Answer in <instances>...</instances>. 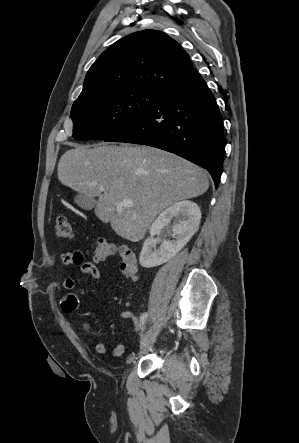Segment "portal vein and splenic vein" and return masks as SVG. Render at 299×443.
<instances>
[{
	"mask_svg": "<svg viewBox=\"0 0 299 443\" xmlns=\"http://www.w3.org/2000/svg\"><path fill=\"white\" fill-rule=\"evenodd\" d=\"M99 189H100V191H104L103 187H100ZM131 206H133V200H131V199H123L119 203L118 208L121 209L123 207H131Z\"/></svg>",
	"mask_w": 299,
	"mask_h": 443,
	"instance_id": "portal-vein-and-splenic-vein-1",
	"label": "portal vein and splenic vein"
}]
</instances>
